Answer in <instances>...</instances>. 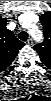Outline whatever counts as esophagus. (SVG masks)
<instances>
[{
  "label": "esophagus",
  "mask_w": 51,
  "mask_h": 101,
  "mask_svg": "<svg viewBox=\"0 0 51 101\" xmlns=\"http://www.w3.org/2000/svg\"><path fill=\"white\" fill-rule=\"evenodd\" d=\"M33 43H34V42H33V39H31V38L28 39L27 42H26V44L29 45V46H32Z\"/></svg>",
  "instance_id": "1"
}]
</instances>
